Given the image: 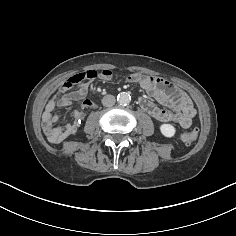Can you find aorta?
<instances>
[{
  "label": "aorta",
  "mask_w": 236,
  "mask_h": 236,
  "mask_svg": "<svg viewBox=\"0 0 236 236\" xmlns=\"http://www.w3.org/2000/svg\"><path fill=\"white\" fill-rule=\"evenodd\" d=\"M117 101L121 105H127L131 101V96L129 93L126 92L119 93L117 96Z\"/></svg>",
  "instance_id": "aorta-1"
}]
</instances>
